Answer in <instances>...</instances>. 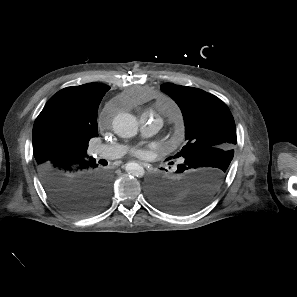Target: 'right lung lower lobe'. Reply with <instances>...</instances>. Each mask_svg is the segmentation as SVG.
Returning <instances> with one entry per match:
<instances>
[{
	"label": "right lung lower lobe",
	"instance_id": "right-lung-lower-lobe-1",
	"mask_svg": "<svg viewBox=\"0 0 297 297\" xmlns=\"http://www.w3.org/2000/svg\"><path fill=\"white\" fill-rule=\"evenodd\" d=\"M46 193L70 215L96 213L107 203L110 180L94 158H58L37 168Z\"/></svg>",
	"mask_w": 297,
	"mask_h": 297
}]
</instances>
